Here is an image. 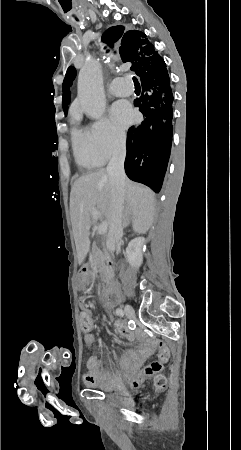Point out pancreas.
<instances>
[{"label": "pancreas", "mask_w": 241, "mask_h": 450, "mask_svg": "<svg viewBox=\"0 0 241 450\" xmlns=\"http://www.w3.org/2000/svg\"><path fill=\"white\" fill-rule=\"evenodd\" d=\"M90 264L91 266H93L94 270H96V268H99V264H102V268H104L105 272V276L102 280V282H105V284H107V282H109L110 278H111V274H109V270L107 268V266H105V256L102 252V250H99V248H96L95 252H93L92 256H91V260H90ZM99 272H101V274H103V270H99Z\"/></svg>", "instance_id": "1"}]
</instances>
